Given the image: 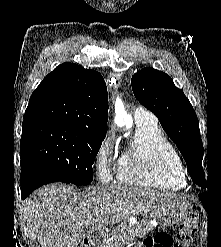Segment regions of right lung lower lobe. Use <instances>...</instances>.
I'll return each mask as SVG.
<instances>
[{
  "label": "right lung lower lobe",
  "instance_id": "right-lung-lower-lobe-1",
  "mask_svg": "<svg viewBox=\"0 0 221 247\" xmlns=\"http://www.w3.org/2000/svg\"><path fill=\"white\" fill-rule=\"evenodd\" d=\"M52 182L71 184L70 181L44 164L31 158H21V195L23 199L38 187Z\"/></svg>",
  "mask_w": 221,
  "mask_h": 247
}]
</instances>
